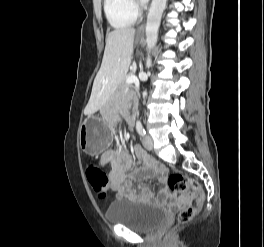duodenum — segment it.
<instances>
[{
    "label": "duodenum",
    "instance_id": "duodenum-1",
    "mask_svg": "<svg viewBox=\"0 0 264 247\" xmlns=\"http://www.w3.org/2000/svg\"><path fill=\"white\" fill-rule=\"evenodd\" d=\"M127 120H128L130 123L133 122V115H132V113H129V114L127 115Z\"/></svg>",
    "mask_w": 264,
    "mask_h": 247
}]
</instances>
